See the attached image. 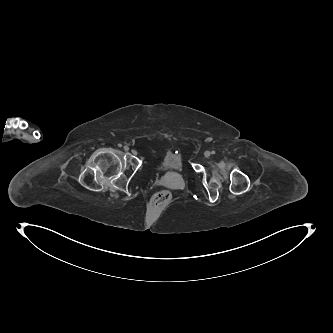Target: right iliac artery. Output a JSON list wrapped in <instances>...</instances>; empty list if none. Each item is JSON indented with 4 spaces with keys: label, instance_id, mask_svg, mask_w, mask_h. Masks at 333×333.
<instances>
[{
    "label": "right iliac artery",
    "instance_id": "82829eb1",
    "mask_svg": "<svg viewBox=\"0 0 333 333\" xmlns=\"http://www.w3.org/2000/svg\"><path fill=\"white\" fill-rule=\"evenodd\" d=\"M119 146H122L121 144ZM124 149L125 150H129V147L128 146H124Z\"/></svg>",
    "mask_w": 333,
    "mask_h": 333
}]
</instances>
